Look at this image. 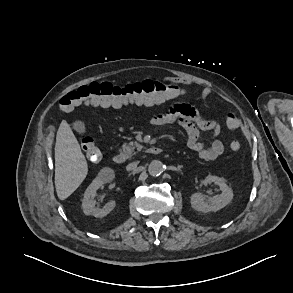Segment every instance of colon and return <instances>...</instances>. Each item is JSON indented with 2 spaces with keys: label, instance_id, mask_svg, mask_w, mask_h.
<instances>
[{
  "label": "colon",
  "instance_id": "1",
  "mask_svg": "<svg viewBox=\"0 0 293 293\" xmlns=\"http://www.w3.org/2000/svg\"><path fill=\"white\" fill-rule=\"evenodd\" d=\"M181 95L182 90L178 86L160 81L144 80L126 85L92 82L64 95L59 100L58 110L60 112H69L83 104L118 108L144 99L148 101H164ZM226 126L230 130L238 128V118L233 114H229L226 117ZM80 144L90 162L96 163L101 159V151L92 137L81 135ZM239 147L237 142L230 144L232 151H238Z\"/></svg>",
  "mask_w": 293,
  "mask_h": 293
}]
</instances>
